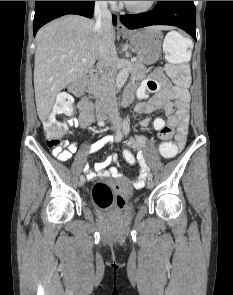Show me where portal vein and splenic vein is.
<instances>
[{"label":"portal vein and splenic vein","mask_w":233,"mask_h":295,"mask_svg":"<svg viewBox=\"0 0 233 295\" xmlns=\"http://www.w3.org/2000/svg\"><path fill=\"white\" fill-rule=\"evenodd\" d=\"M82 61L84 62V61H86V59L83 58ZM135 61H136V58H132V59H131V62H135Z\"/></svg>","instance_id":"1"}]
</instances>
